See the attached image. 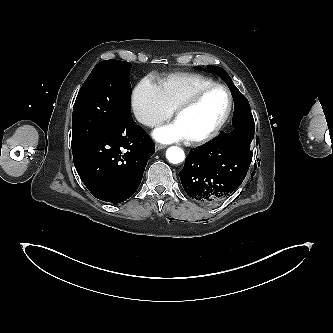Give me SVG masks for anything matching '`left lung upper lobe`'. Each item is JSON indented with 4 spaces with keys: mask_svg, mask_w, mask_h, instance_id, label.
<instances>
[{
    "mask_svg": "<svg viewBox=\"0 0 333 333\" xmlns=\"http://www.w3.org/2000/svg\"><path fill=\"white\" fill-rule=\"evenodd\" d=\"M195 69L201 70L200 67H195ZM207 70L218 75L227 83V85L229 86V88L232 92L234 99L238 98V99L244 100L246 103H248L247 99L235 87L231 78L229 77V75L227 74V72L224 69H222L221 67H218V66H208Z\"/></svg>",
    "mask_w": 333,
    "mask_h": 333,
    "instance_id": "obj_1",
    "label": "left lung upper lobe"
}]
</instances>
